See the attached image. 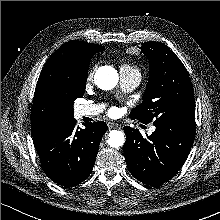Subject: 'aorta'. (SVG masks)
Listing matches in <instances>:
<instances>
[{"mask_svg":"<svg viewBox=\"0 0 220 220\" xmlns=\"http://www.w3.org/2000/svg\"><path fill=\"white\" fill-rule=\"evenodd\" d=\"M119 80L116 69L111 66L100 67L94 76L95 84L103 90L113 89ZM124 133L122 131L112 130L107 140L108 144L113 148H119L124 144Z\"/></svg>","mask_w":220,"mask_h":220,"instance_id":"aorta-1","label":"aorta"}]
</instances>
